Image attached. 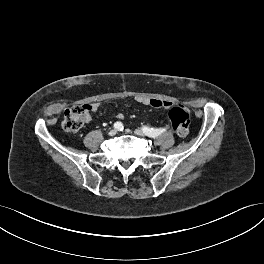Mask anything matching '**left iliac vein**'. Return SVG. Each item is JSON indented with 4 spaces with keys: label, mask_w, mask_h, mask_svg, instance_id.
<instances>
[{
    "label": "left iliac vein",
    "mask_w": 264,
    "mask_h": 264,
    "mask_svg": "<svg viewBox=\"0 0 264 264\" xmlns=\"http://www.w3.org/2000/svg\"><path fill=\"white\" fill-rule=\"evenodd\" d=\"M134 133H135V135L140 136V137H144L145 136V133L143 131L139 130V129H136L134 131Z\"/></svg>",
    "instance_id": "obj_1"
}]
</instances>
